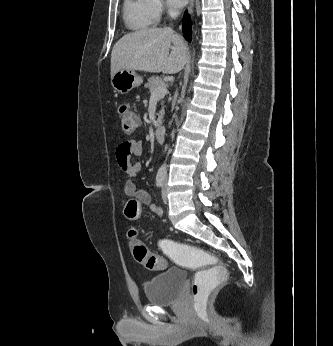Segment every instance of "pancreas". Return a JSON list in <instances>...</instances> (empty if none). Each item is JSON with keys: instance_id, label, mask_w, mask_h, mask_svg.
I'll return each instance as SVG.
<instances>
[{"instance_id": "obj_1", "label": "pancreas", "mask_w": 333, "mask_h": 346, "mask_svg": "<svg viewBox=\"0 0 333 346\" xmlns=\"http://www.w3.org/2000/svg\"><path fill=\"white\" fill-rule=\"evenodd\" d=\"M145 86L149 89V92L152 94L156 89L165 86V84L161 77L154 76L148 79V83H146ZM163 115H164V109H162L158 114V119L155 123L156 126L161 125Z\"/></svg>"}]
</instances>
